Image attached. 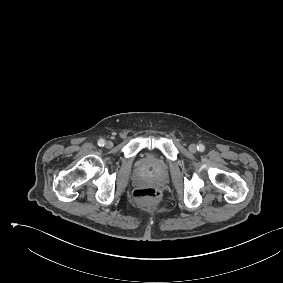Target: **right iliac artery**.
Returning a JSON list of instances; mask_svg holds the SVG:
<instances>
[{"mask_svg":"<svg viewBox=\"0 0 283 283\" xmlns=\"http://www.w3.org/2000/svg\"><path fill=\"white\" fill-rule=\"evenodd\" d=\"M98 145H99V146H104V145H105V140H104V139H100V140L98 141Z\"/></svg>","mask_w":283,"mask_h":283,"instance_id":"82829eb1","label":"right iliac artery"}]
</instances>
